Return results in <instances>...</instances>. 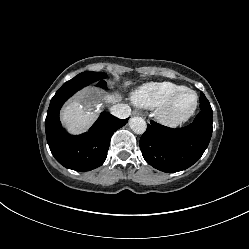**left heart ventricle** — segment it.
I'll list each match as a JSON object with an SVG mask.
<instances>
[{
	"label": "left heart ventricle",
	"instance_id": "b2bd125f",
	"mask_svg": "<svg viewBox=\"0 0 249 249\" xmlns=\"http://www.w3.org/2000/svg\"><path fill=\"white\" fill-rule=\"evenodd\" d=\"M193 103V95L189 92H184L178 96L174 105L173 111L176 113H182L186 111Z\"/></svg>",
	"mask_w": 249,
	"mask_h": 249
}]
</instances>
